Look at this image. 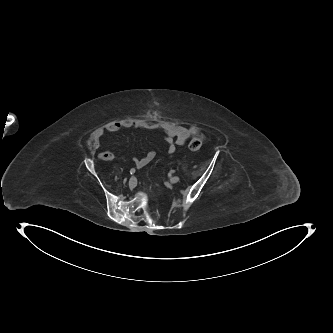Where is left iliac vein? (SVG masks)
<instances>
[{
  "label": "left iliac vein",
  "mask_w": 333,
  "mask_h": 333,
  "mask_svg": "<svg viewBox=\"0 0 333 333\" xmlns=\"http://www.w3.org/2000/svg\"><path fill=\"white\" fill-rule=\"evenodd\" d=\"M179 180H180L179 176H173V177L170 179V183H171V184H175V183H177Z\"/></svg>",
  "instance_id": "4c4485c4"
}]
</instances>
